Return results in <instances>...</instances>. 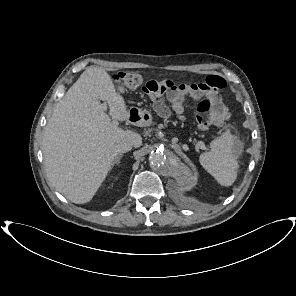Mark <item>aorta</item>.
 <instances>
[{
  "mask_svg": "<svg viewBox=\"0 0 296 296\" xmlns=\"http://www.w3.org/2000/svg\"><path fill=\"white\" fill-rule=\"evenodd\" d=\"M149 162L153 169L163 174L174 175L179 182L186 186L194 184L189 169L180 165L177 155L165 148H156L150 152Z\"/></svg>",
  "mask_w": 296,
  "mask_h": 296,
  "instance_id": "obj_1",
  "label": "aorta"
}]
</instances>
